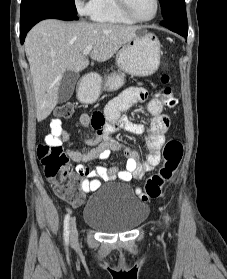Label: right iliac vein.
Here are the masks:
<instances>
[{
	"mask_svg": "<svg viewBox=\"0 0 227 279\" xmlns=\"http://www.w3.org/2000/svg\"><path fill=\"white\" fill-rule=\"evenodd\" d=\"M70 229V238L73 243H75L78 239V231L75 218H72L69 224Z\"/></svg>",
	"mask_w": 227,
	"mask_h": 279,
	"instance_id": "1",
	"label": "right iliac vein"
}]
</instances>
